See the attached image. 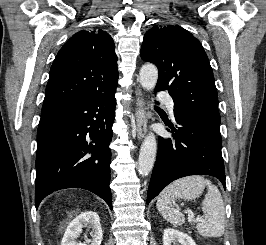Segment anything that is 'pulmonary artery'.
Segmentation results:
<instances>
[{"instance_id": "e3ab8cb5", "label": "pulmonary artery", "mask_w": 266, "mask_h": 245, "mask_svg": "<svg viewBox=\"0 0 266 245\" xmlns=\"http://www.w3.org/2000/svg\"><path fill=\"white\" fill-rule=\"evenodd\" d=\"M161 95H164V92H161ZM162 100H165V97H162ZM166 107L168 109V111L170 112V114H173L174 111V102L171 98L167 99L165 101Z\"/></svg>"}]
</instances>
